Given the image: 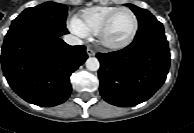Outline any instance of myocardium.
<instances>
[{"label": "myocardium", "mask_w": 194, "mask_h": 133, "mask_svg": "<svg viewBox=\"0 0 194 133\" xmlns=\"http://www.w3.org/2000/svg\"><path fill=\"white\" fill-rule=\"evenodd\" d=\"M122 11H127V12L132 14V16L134 18V28H133L131 35L125 41L120 42V43H113V42H110L107 40L106 34H107V31H108L110 25L112 24L114 18L117 16V14H119ZM138 27H139V21H138L137 15L131 9L126 8V7H122V8L117 9L115 12H113L106 19V21L103 23V25L101 26V28L99 29V31L97 33H98L100 39L102 40V42L106 46H108L110 48H122V47L127 46L128 44H130L133 41V39L135 38L136 33L138 31Z\"/></svg>", "instance_id": "obj_1"}]
</instances>
